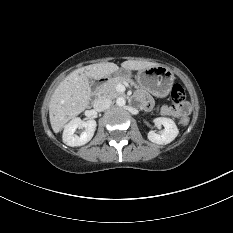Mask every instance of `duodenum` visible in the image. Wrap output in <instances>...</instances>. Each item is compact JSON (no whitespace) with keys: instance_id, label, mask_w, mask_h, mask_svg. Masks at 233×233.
I'll return each instance as SVG.
<instances>
[{"instance_id":"410a0bca","label":"duodenum","mask_w":233,"mask_h":233,"mask_svg":"<svg viewBox=\"0 0 233 233\" xmlns=\"http://www.w3.org/2000/svg\"><path fill=\"white\" fill-rule=\"evenodd\" d=\"M108 79L107 78H101L98 79L94 82V88H98L99 86H101L103 83H105Z\"/></svg>"}]
</instances>
